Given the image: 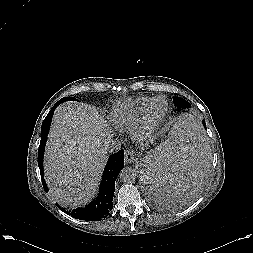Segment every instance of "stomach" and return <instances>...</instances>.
I'll list each match as a JSON object with an SVG mask.
<instances>
[{
	"label": "stomach",
	"mask_w": 253,
	"mask_h": 253,
	"mask_svg": "<svg viewBox=\"0 0 253 253\" xmlns=\"http://www.w3.org/2000/svg\"><path fill=\"white\" fill-rule=\"evenodd\" d=\"M154 153H148V155L146 157H144L143 159H141L138 163V167H139V173H140V178L142 179L143 173H144V166L145 163L147 161V159Z\"/></svg>",
	"instance_id": "0dacf381"
}]
</instances>
